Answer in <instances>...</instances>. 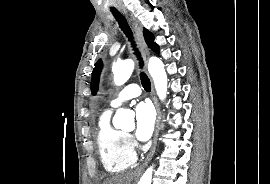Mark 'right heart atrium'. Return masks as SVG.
Segmentation results:
<instances>
[{"label":"right heart atrium","instance_id":"right-heart-atrium-1","mask_svg":"<svg viewBox=\"0 0 270 184\" xmlns=\"http://www.w3.org/2000/svg\"><path fill=\"white\" fill-rule=\"evenodd\" d=\"M130 141V144H133V141L132 140H129Z\"/></svg>","mask_w":270,"mask_h":184}]
</instances>
